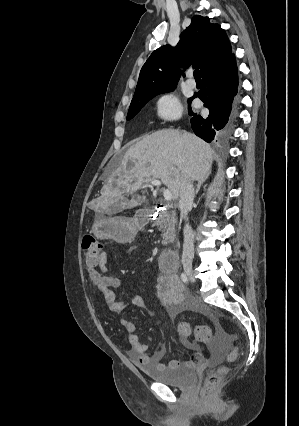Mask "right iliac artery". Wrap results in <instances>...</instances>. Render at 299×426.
Listing matches in <instances>:
<instances>
[{"instance_id":"obj_1","label":"right iliac artery","mask_w":299,"mask_h":426,"mask_svg":"<svg viewBox=\"0 0 299 426\" xmlns=\"http://www.w3.org/2000/svg\"><path fill=\"white\" fill-rule=\"evenodd\" d=\"M181 280L184 282V283H188V278H187V276H186V274L185 273H182L181 274Z\"/></svg>"}]
</instances>
